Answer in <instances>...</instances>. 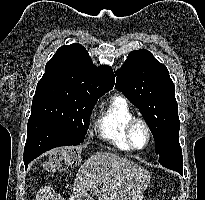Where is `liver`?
I'll use <instances>...</instances> for the list:
<instances>
[{"mask_svg":"<svg viewBox=\"0 0 205 200\" xmlns=\"http://www.w3.org/2000/svg\"><path fill=\"white\" fill-rule=\"evenodd\" d=\"M150 174L131 160L112 152L91 155L79 168L69 200H80L87 192L98 200H142ZM35 200H65L50 186L41 187Z\"/></svg>","mask_w":205,"mask_h":200,"instance_id":"obj_1","label":"liver"}]
</instances>
